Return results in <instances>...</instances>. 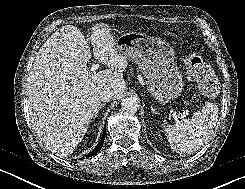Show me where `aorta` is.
Instances as JSON below:
<instances>
[{"label": "aorta", "mask_w": 245, "mask_h": 189, "mask_svg": "<svg viewBox=\"0 0 245 189\" xmlns=\"http://www.w3.org/2000/svg\"><path fill=\"white\" fill-rule=\"evenodd\" d=\"M121 107L126 112L135 113L139 109V101L134 97H127L123 99Z\"/></svg>", "instance_id": "1"}]
</instances>
